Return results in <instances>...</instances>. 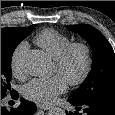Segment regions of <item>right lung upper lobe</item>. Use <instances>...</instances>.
Returning a JSON list of instances; mask_svg holds the SVG:
<instances>
[{"mask_svg":"<svg viewBox=\"0 0 115 115\" xmlns=\"http://www.w3.org/2000/svg\"><path fill=\"white\" fill-rule=\"evenodd\" d=\"M24 28H3L1 29V38L12 35Z\"/></svg>","mask_w":115,"mask_h":115,"instance_id":"1","label":"right lung upper lobe"}]
</instances>
